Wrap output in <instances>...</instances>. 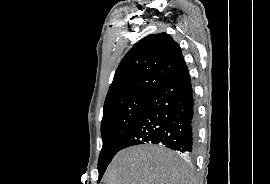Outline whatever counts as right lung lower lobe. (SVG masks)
<instances>
[{"label": "right lung lower lobe", "mask_w": 270, "mask_h": 184, "mask_svg": "<svg viewBox=\"0 0 270 184\" xmlns=\"http://www.w3.org/2000/svg\"><path fill=\"white\" fill-rule=\"evenodd\" d=\"M196 139V108L191 78L185 65L148 96L119 151L133 145L154 143L183 153H193Z\"/></svg>", "instance_id": "1"}]
</instances>
